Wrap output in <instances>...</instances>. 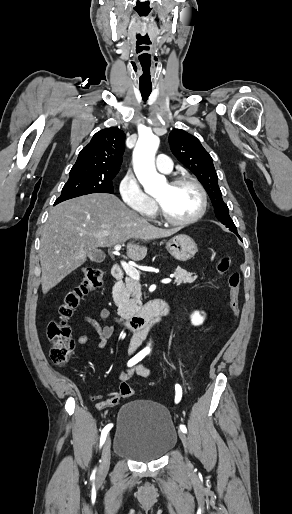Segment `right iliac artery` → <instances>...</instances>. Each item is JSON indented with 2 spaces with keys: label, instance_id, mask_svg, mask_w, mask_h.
<instances>
[{
  "label": "right iliac artery",
  "instance_id": "82829eb1",
  "mask_svg": "<svg viewBox=\"0 0 292 514\" xmlns=\"http://www.w3.org/2000/svg\"><path fill=\"white\" fill-rule=\"evenodd\" d=\"M146 355H147V351H144V350L140 351L138 354H136L133 358H131L128 361L127 366L132 367L133 365H135L136 363L141 361ZM112 427H113V424H108L102 430L101 437H100V447L105 442L107 434L109 433V431L111 430ZM95 472H96V470L93 471V475H95Z\"/></svg>",
  "mask_w": 292,
  "mask_h": 514
}]
</instances>
